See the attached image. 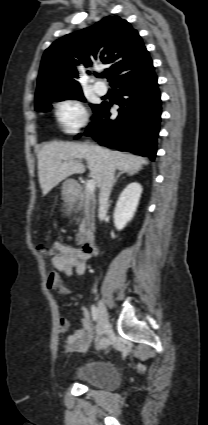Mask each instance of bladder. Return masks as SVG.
Listing matches in <instances>:
<instances>
[{"label": "bladder", "instance_id": "1", "mask_svg": "<svg viewBox=\"0 0 208 425\" xmlns=\"http://www.w3.org/2000/svg\"><path fill=\"white\" fill-rule=\"evenodd\" d=\"M72 378L84 385L110 391L120 384V375L116 367L105 360H94L78 367Z\"/></svg>", "mask_w": 208, "mask_h": 425}]
</instances>
